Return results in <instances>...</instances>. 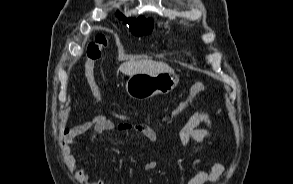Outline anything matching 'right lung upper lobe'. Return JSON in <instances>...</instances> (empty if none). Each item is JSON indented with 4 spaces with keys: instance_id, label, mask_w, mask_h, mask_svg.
Returning a JSON list of instances; mask_svg holds the SVG:
<instances>
[{
    "instance_id": "right-lung-upper-lobe-1",
    "label": "right lung upper lobe",
    "mask_w": 293,
    "mask_h": 184,
    "mask_svg": "<svg viewBox=\"0 0 293 184\" xmlns=\"http://www.w3.org/2000/svg\"><path fill=\"white\" fill-rule=\"evenodd\" d=\"M117 16L119 19H122L124 22L128 24H138L142 26H152L150 21H147L143 17L138 18L137 20H134L132 18H125L121 13H117Z\"/></svg>"
}]
</instances>
